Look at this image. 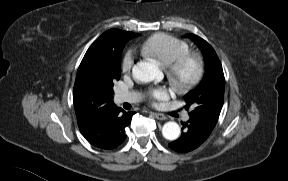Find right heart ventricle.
Segmentation results:
<instances>
[{"label": "right heart ventricle", "instance_id": "obj_1", "mask_svg": "<svg viewBox=\"0 0 288 181\" xmlns=\"http://www.w3.org/2000/svg\"><path fill=\"white\" fill-rule=\"evenodd\" d=\"M142 53L168 66L179 56L189 52L186 42L171 35L158 33L148 38L142 45Z\"/></svg>", "mask_w": 288, "mask_h": 181}]
</instances>
